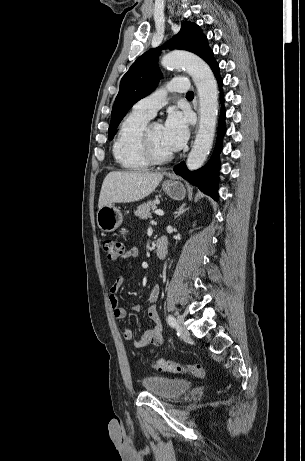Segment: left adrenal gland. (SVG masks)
<instances>
[{"instance_id": "1", "label": "left adrenal gland", "mask_w": 305, "mask_h": 461, "mask_svg": "<svg viewBox=\"0 0 305 461\" xmlns=\"http://www.w3.org/2000/svg\"><path fill=\"white\" fill-rule=\"evenodd\" d=\"M186 204H182L179 209L175 212L174 218H178L180 215H182L184 212L189 210V208H185Z\"/></svg>"}]
</instances>
